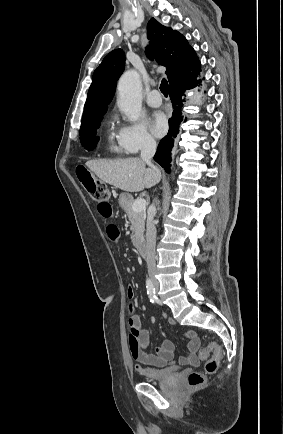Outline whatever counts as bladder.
<instances>
[{
    "instance_id": "31cf9c89",
    "label": "bladder",
    "mask_w": 283,
    "mask_h": 434,
    "mask_svg": "<svg viewBox=\"0 0 283 434\" xmlns=\"http://www.w3.org/2000/svg\"><path fill=\"white\" fill-rule=\"evenodd\" d=\"M178 373L177 367H167V368H156V367H146L141 372L140 375L146 381H163Z\"/></svg>"
}]
</instances>
